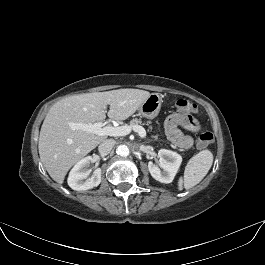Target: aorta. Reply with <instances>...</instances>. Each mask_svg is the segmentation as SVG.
<instances>
[{
	"label": "aorta",
	"mask_w": 265,
	"mask_h": 265,
	"mask_svg": "<svg viewBox=\"0 0 265 265\" xmlns=\"http://www.w3.org/2000/svg\"><path fill=\"white\" fill-rule=\"evenodd\" d=\"M116 152L118 155L122 157H126L129 155L130 151L129 148L126 145H120L117 147Z\"/></svg>",
	"instance_id": "obj_1"
}]
</instances>
